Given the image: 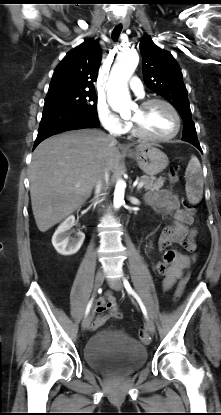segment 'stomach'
<instances>
[{
	"mask_svg": "<svg viewBox=\"0 0 221 415\" xmlns=\"http://www.w3.org/2000/svg\"><path fill=\"white\" fill-rule=\"evenodd\" d=\"M127 155L134 158L139 168L147 175L154 176L162 172L169 163L167 155L153 145H146Z\"/></svg>",
	"mask_w": 221,
	"mask_h": 415,
	"instance_id": "1",
	"label": "stomach"
}]
</instances>
